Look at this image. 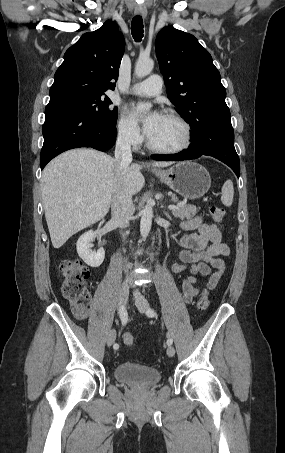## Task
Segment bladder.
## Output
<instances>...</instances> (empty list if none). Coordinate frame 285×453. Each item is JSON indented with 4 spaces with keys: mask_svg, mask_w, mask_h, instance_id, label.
I'll return each mask as SVG.
<instances>
[{
    "mask_svg": "<svg viewBox=\"0 0 285 453\" xmlns=\"http://www.w3.org/2000/svg\"><path fill=\"white\" fill-rule=\"evenodd\" d=\"M115 378L134 387H151L161 379L160 372L150 366L136 363H122L114 369Z\"/></svg>",
    "mask_w": 285,
    "mask_h": 453,
    "instance_id": "obj_1",
    "label": "bladder"
}]
</instances>
